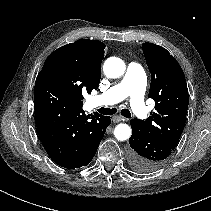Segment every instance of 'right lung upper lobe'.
<instances>
[{"instance_id":"1","label":"right lung upper lobe","mask_w":211,"mask_h":211,"mask_svg":"<svg viewBox=\"0 0 211 211\" xmlns=\"http://www.w3.org/2000/svg\"><path fill=\"white\" fill-rule=\"evenodd\" d=\"M105 45L97 40L80 39L60 47L53 53L67 56L82 76L85 85L97 89L101 78V62Z\"/></svg>"}]
</instances>
